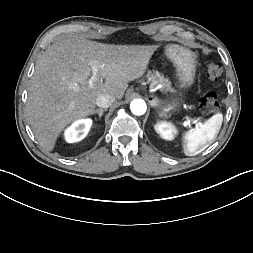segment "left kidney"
Masks as SVG:
<instances>
[{
  "mask_svg": "<svg viewBox=\"0 0 253 253\" xmlns=\"http://www.w3.org/2000/svg\"><path fill=\"white\" fill-rule=\"evenodd\" d=\"M156 132L166 140H172L174 138L175 128L168 122H160L154 126Z\"/></svg>",
  "mask_w": 253,
  "mask_h": 253,
  "instance_id": "1",
  "label": "left kidney"
}]
</instances>
